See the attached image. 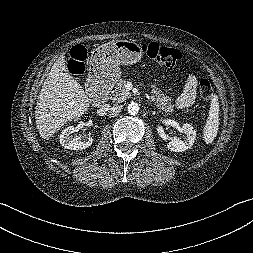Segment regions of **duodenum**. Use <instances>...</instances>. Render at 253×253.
Here are the masks:
<instances>
[{"instance_id":"duodenum-1","label":"duodenum","mask_w":253,"mask_h":253,"mask_svg":"<svg viewBox=\"0 0 253 253\" xmlns=\"http://www.w3.org/2000/svg\"><path fill=\"white\" fill-rule=\"evenodd\" d=\"M92 93L95 101L98 103V107L103 111L106 107V88L95 87Z\"/></svg>"}]
</instances>
